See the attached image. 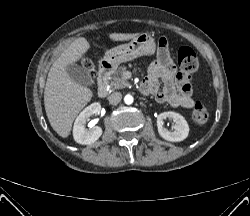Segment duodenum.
Returning <instances> with one entry per match:
<instances>
[{
	"mask_svg": "<svg viewBox=\"0 0 250 216\" xmlns=\"http://www.w3.org/2000/svg\"><path fill=\"white\" fill-rule=\"evenodd\" d=\"M112 64L104 61L99 65L97 80H98V94L101 98L107 96L109 91L108 76L111 72Z\"/></svg>",
	"mask_w": 250,
	"mask_h": 216,
	"instance_id": "duodenum-1",
	"label": "duodenum"
}]
</instances>
